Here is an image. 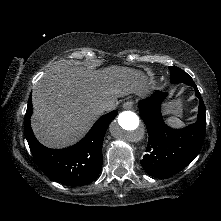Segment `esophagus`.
I'll use <instances>...</instances> for the list:
<instances>
[{"label": "esophagus", "instance_id": "esophagus-1", "mask_svg": "<svg viewBox=\"0 0 221 221\" xmlns=\"http://www.w3.org/2000/svg\"><path fill=\"white\" fill-rule=\"evenodd\" d=\"M133 105H134V101L129 100L123 104V108L124 109H132Z\"/></svg>", "mask_w": 221, "mask_h": 221}]
</instances>
